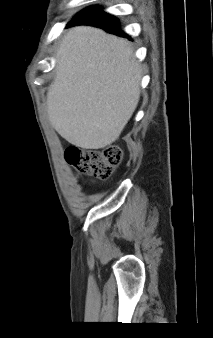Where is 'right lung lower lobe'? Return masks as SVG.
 Masks as SVG:
<instances>
[{"mask_svg":"<svg viewBox=\"0 0 213 338\" xmlns=\"http://www.w3.org/2000/svg\"><path fill=\"white\" fill-rule=\"evenodd\" d=\"M74 25H91L102 28L109 33L130 39V37L119 28L118 19L101 11V8L98 6L89 7L77 14L68 24V26Z\"/></svg>","mask_w":213,"mask_h":338,"instance_id":"obj_1","label":"right lung lower lobe"}]
</instances>
